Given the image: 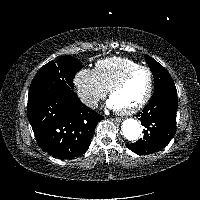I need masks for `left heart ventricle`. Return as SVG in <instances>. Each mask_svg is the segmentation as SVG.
Listing matches in <instances>:
<instances>
[{"instance_id":"left-heart-ventricle-1","label":"left heart ventricle","mask_w":200,"mask_h":200,"mask_svg":"<svg viewBox=\"0 0 200 200\" xmlns=\"http://www.w3.org/2000/svg\"><path fill=\"white\" fill-rule=\"evenodd\" d=\"M149 85V75L146 71H138L117 90L111 97L119 109L134 106L145 96Z\"/></svg>"}]
</instances>
